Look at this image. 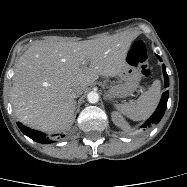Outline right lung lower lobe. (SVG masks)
<instances>
[{
    "instance_id": "98d812e1",
    "label": "right lung lower lobe",
    "mask_w": 187,
    "mask_h": 187,
    "mask_svg": "<svg viewBox=\"0 0 187 187\" xmlns=\"http://www.w3.org/2000/svg\"><path fill=\"white\" fill-rule=\"evenodd\" d=\"M19 129L25 134L27 135L29 138H31L32 140L39 142V143H43V144H48V143H53L54 141L50 140L49 138L46 137V135L44 133L38 132L36 130L30 129L24 125H22L21 123H17Z\"/></svg>"
}]
</instances>
